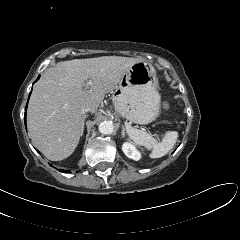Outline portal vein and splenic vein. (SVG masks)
I'll list each match as a JSON object with an SVG mask.
<instances>
[{
  "label": "portal vein and splenic vein",
  "mask_w": 240,
  "mask_h": 240,
  "mask_svg": "<svg viewBox=\"0 0 240 240\" xmlns=\"http://www.w3.org/2000/svg\"><path fill=\"white\" fill-rule=\"evenodd\" d=\"M90 85H92V81H91V80H89V81L87 82L86 88H88Z\"/></svg>",
  "instance_id": "obj_1"
}]
</instances>
